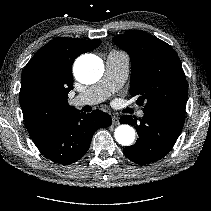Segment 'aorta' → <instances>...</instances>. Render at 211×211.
Instances as JSON below:
<instances>
[{
  "instance_id": "aorta-1",
  "label": "aorta",
  "mask_w": 211,
  "mask_h": 211,
  "mask_svg": "<svg viewBox=\"0 0 211 211\" xmlns=\"http://www.w3.org/2000/svg\"><path fill=\"white\" fill-rule=\"evenodd\" d=\"M75 78L84 84L97 82L104 72V65L101 59L92 54H86L79 57L73 67ZM116 141L123 145L129 146L135 140V130L127 124H122L115 129Z\"/></svg>"
}]
</instances>
